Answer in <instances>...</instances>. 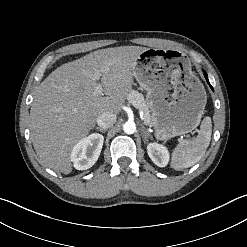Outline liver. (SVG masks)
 Masks as SVG:
<instances>
[{
  "label": "liver",
  "mask_w": 247,
  "mask_h": 247,
  "mask_svg": "<svg viewBox=\"0 0 247 247\" xmlns=\"http://www.w3.org/2000/svg\"><path fill=\"white\" fill-rule=\"evenodd\" d=\"M147 49L96 50L58 67L38 86L30 110V130L34 149L45 166L64 174L72 172L74 145L89 134L99 115L121 111L132 92L135 62ZM97 70L102 95L95 94Z\"/></svg>",
  "instance_id": "obj_1"
}]
</instances>
